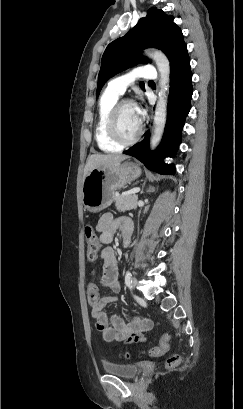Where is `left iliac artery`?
<instances>
[{
    "label": "left iliac artery",
    "instance_id": "1",
    "mask_svg": "<svg viewBox=\"0 0 243 409\" xmlns=\"http://www.w3.org/2000/svg\"><path fill=\"white\" fill-rule=\"evenodd\" d=\"M125 283H126V286H130L131 283H132V274H131L130 271H127V272H126V275H125Z\"/></svg>",
    "mask_w": 243,
    "mask_h": 409
}]
</instances>
